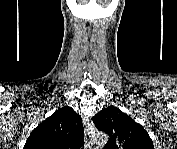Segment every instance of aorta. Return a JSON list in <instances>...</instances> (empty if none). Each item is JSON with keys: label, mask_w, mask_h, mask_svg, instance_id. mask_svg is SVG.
Returning <instances> with one entry per match:
<instances>
[{"label": "aorta", "mask_w": 177, "mask_h": 149, "mask_svg": "<svg viewBox=\"0 0 177 149\" xmlns=\"http://www.w3.org/2000/svg\"><path fill=\"white\" fill-rule=\"evenodd\" d=\"M107 141V136L105 134H99L97 136V142L103 144Z\"/></svg>", "instance_id": "aorta-1"}]
</instances>
